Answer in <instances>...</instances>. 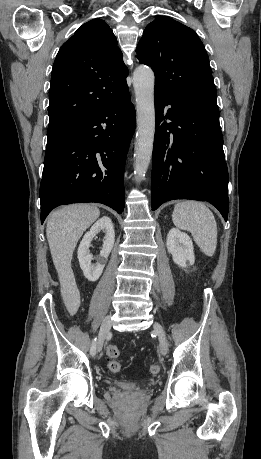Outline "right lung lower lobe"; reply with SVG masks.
Listing matches in <instances>:
<instances>
[{
	"label": "right lung lower lobe",
	"instance_id": "1",
	"mask_svg": "<svg viewBox=\"0 0 261 459\" xmlns=\"http://www.w3.org/2000/svg\"><path fill=\"white\" fill-rule=\"evenodd\" d=\"M134 129L135 110L126 89L47 146L41 223L62 204L97 202L123 212L125 159Z\"/></svg>",
	"mask_w": 261,
	"mask_h": 459
}]
</instances>
